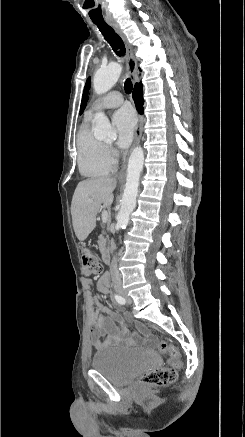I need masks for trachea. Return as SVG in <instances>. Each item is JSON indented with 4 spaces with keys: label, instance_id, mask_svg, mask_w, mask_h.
I'll list each match as a JSON object with an SVG mask.
<instances>
[{
    "label": "trachea",
    "instance_id": "3493384b",
    "mask_svg": "<svg viewBox=\"0 0 245 437\" xmlns=\"http://www.w3.org/2000/svg\"><path fill=\"white\" fill-rule=\"evenodd\" d=\"M94 24L97 25L105 40L110 44L113 51L119 56L122 57L126 53V48L123 40L116 34L115 30L108 25L106 22L93 21ZM132 82L130 78H127L124 83V90L127 94L132 92Z\"/></svg>",
    "mask_w": 245,
    "mask_h": 437
}]
</instances>
